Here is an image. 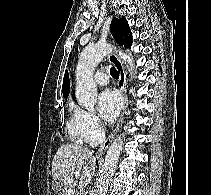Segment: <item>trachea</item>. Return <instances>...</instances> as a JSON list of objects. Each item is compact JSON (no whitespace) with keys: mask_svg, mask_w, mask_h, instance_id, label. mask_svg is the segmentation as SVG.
Instances as JSON below:
<instances>
[{"mask_svg":"<svg viewBox=\"0 0 211 195\" xmlns=\"http://www.w3.org/2000/svg\"><path fill=\"white\" fill-rule=\"evenodd\" d=\"M110 73H111V75H112L113 78H115V79H118L119 78V73H118V71L114 67H111L110 68Z\"/></svg>","mask_w":211,"mask_h":195,"instance_id":"obj_1","label":"trachea"}]
</instances>
